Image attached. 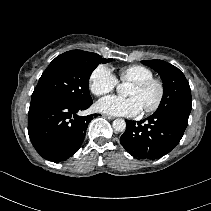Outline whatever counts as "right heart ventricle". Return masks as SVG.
<instances>
[{"label": "right heart ventricle", "instance_id": "obj_1", "mask_svg": "<svg viewBox=\"0 0 211 211\" xmlns=\"http://www.w3.org/2000/svg\"><path fill=\"white\" fill-rule=\"evenodd\" d=\"M153 77V72L150 68L139 65L133 64L122 67L119 70V78L122 82H135L138 80L146 79Z\"/></svg>", "mask_w": 211, "mask_h": 211}]
</instances>
